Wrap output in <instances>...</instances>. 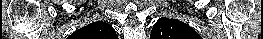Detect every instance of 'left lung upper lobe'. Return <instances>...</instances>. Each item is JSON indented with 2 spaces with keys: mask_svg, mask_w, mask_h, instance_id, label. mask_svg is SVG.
<instances>
[{
  "mask_svg": "<svg viewBox=\"0 0 263 39\" xmlns=\"http://www.w3.org/2000/svg\"><path fill=\"white\" fill-rule=\"evenodd\" d=\"M150 39H202V37L186 23L163 17L154 24Z\"/></svg>",
  "mask_w": 263,
  "mask_h": 39,
  "instance_id": "left-lung-upper-lobe-1",
  "label": "left lung upper lobe"
}]
</instances>
